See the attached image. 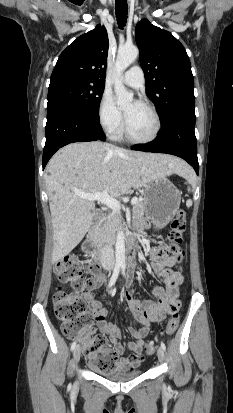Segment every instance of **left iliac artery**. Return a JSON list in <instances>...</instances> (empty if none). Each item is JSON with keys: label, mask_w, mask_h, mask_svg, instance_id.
<instances>
[{"label": "left iliac artery", "mask_w": 233, "mask_h": 413, "mask_svg": "<svg viewBox=\"0 0 233 413\" xmlns=\"http://www.w3.org/2000/svg\"><path fill=\"white\" fill-rule=\"evenodd\" d=\"M121 269H122L123 275L125 276L126 266H125V265H122V266H121ZM161 348H162L163 350H166V346H165V344H164L163 342H161Z\"/></svg>", "instance_id": "44dca946"}]
</instances>
